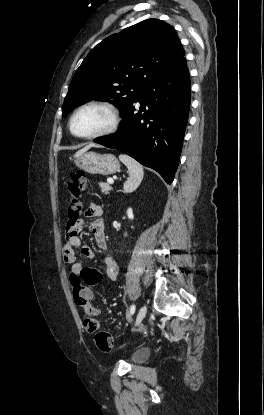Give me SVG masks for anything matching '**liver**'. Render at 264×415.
I'll return each mask as SVG.
<instances>
[{
	"label": "liver",
	"mask_w": 264,
	"mask_h": 415,
	"mask_svg": "<svg viewBox=\"0 0 264 415\" xmlns=\"http://www.w3.org/2000/svg\"><path fill=\"white\" fill-rule=\"evenodd\" d=\"M92 146H93V145H88V146L84 147L83 149H81L80 151H78V152L76 153V156H77V155H79V154H82V153H84V152H86V151H88V150H89Z\"/></svg>",
	"instance_id": "liver-1"
}]
</instances>
